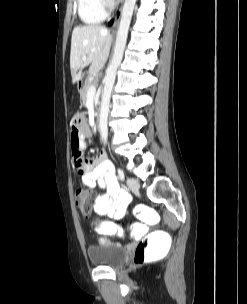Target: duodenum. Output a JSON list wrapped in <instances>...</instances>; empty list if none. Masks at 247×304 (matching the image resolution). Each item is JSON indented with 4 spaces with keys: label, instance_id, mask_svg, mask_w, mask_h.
Wrapping results in <instances>:
<instances>
[{
    "label": "duodenum",
    "instance_id": "obj_1",
    "mask_svg": "<svg viewBox=\"0 0 247 304\" xmlns=\"http://www.w3.org/2000/svg\"><path fill=\"white\" fill-rule=\"evenodd\" d=\"M87 80L86 79H81V81H78V86H83V83L86 82ZM95 121L96 123H99L100 122V113L97 112L95 114ZM96 129H100V126H96Z\"/></svg>",
    "mask_w": 247,
    "mask_h": 304
}]
</instances>
